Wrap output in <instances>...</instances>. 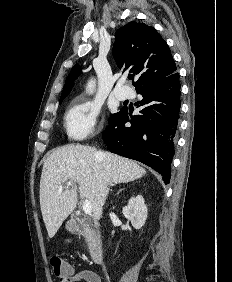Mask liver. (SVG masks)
Segmentation results:
<instances>
[{
	"label": "liver",
	"instance_id": "6515ba94",
	"mask_svg": "<svg viewBox=\"0 0 232 282\" xmlns=\"http://www.w3.org/2000/svg\"><path fill=\"white\" fill-rule=\"evenodd\" d=\"M146 174L136 162L83 145L56 149L45 160L40 179V206L49 238L76 207L77 188L82 199L91 202L93 215L100 219L109 185L128 183ZM71 182L72 188L59 192Z\"/></svg>",
	"mask_w": 232,
	"mask_h": 282
}]
</instances>
